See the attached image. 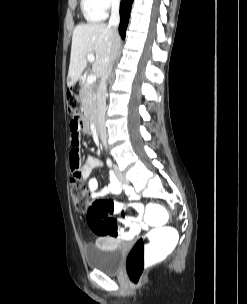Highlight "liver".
<instances>
[{
    "label": "liver",
    "mask_w": 247,
    "mask_h": 304,
    "mask_svg": "<svg viewBox=\"0 0 247 304\" xmlns=\"http://www.w3.org/2000/svg\"><path fill=\"white\" fill-rule=\"evenodd\" d=\"M119 39L112 27L105 23L79 24L72 36L67 86L71 87L87 66V55H96L92 71L97 77L106 72Z\"/></svg>",
    "instance_id": "1"
}]
</instances>
